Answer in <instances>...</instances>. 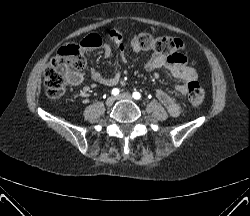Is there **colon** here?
I'll return each instance as SVG.
<instances>
[{"label":"colon","mask_w":250,"mask_h":216,"mask_svg":"<svg viewBox=\"0 0 250 216\" xmlns=\"http://www.w3.org/2000/svg\"><path fill=\"white\" fill-rule=\"evenodd\" d=\"M111 36L114 32L110 33ZM133 43L141 49L153 50L165 55L179 53L184 48L181 39L172 36L155 37L149 33H141L134 37ZM86 65L85 59L77 45L61 47L51 58L44 71V85L49 98L61 99L67 89V82ZM188 100L194 107L203 103L204 90L195 80L187 85Z\"/></svg>","instance_id":"colon-1"}]
</instances>
